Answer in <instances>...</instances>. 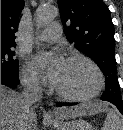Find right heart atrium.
Listing matches in <instances>:
<instances>
[{
	"label": "right heart atrium",
	"mask_w": 123,
	"mask_h": 130,
	"mask_svg": "<svg viewBox=\"0 0 123 130\" xmlns=\"http://www.w3.org/2000/svg\"><path fill=\"white\" fill-rule=\"evenodd\" d=\"M21 80L24 87L30 91L37 92L42 88L40 79L28 65H25L22 69Z\"/></svg>",
	"instance_id": "obj_1"
}]
</instances>
